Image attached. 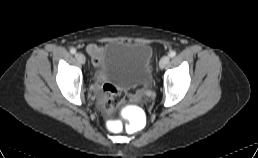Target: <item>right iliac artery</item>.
<instances>
[{"mask_svg":"<svg viewBox=\"0 0 258 158\" xmlns=\"http://www.w3.org/2000/svg\"><path fill=\"white\" fill-rule=\"evenodd\" d=\"M70 52H71V54H75L76 53V49L75 48H71Z\"/></svg>","mask_w":258,"mask_h":158,"instance_id":"1","label":"right iliac artery"}]
</instances>
